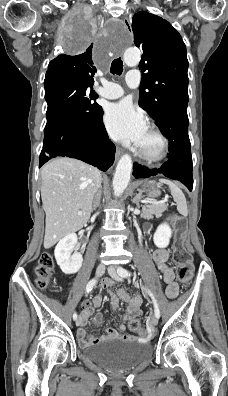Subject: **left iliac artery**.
I'll return each mask as SVG.
<instances>
[{
	"instance_id": "obj_1",
	"label": "left iliac artery",
	"mask_w": 228,
	"mask_h": 396,
	"mask_svg": "<svg viewBox=\"0 0 228 396\" xmlns=\"http://www.w3.org/2000/svg\"><path fill=\"white\" fill-rule=\"evenodd\" d=\"M117 272H118V274H119L121 277H124V278L131 275V272H129L128 270H126V269H124V268H122V267H119V268L117 269ZM145 290H146V292L149 294V296L151 297V299H152V301H153V304H154L155 315H156L157 318H159V317H160V310H159L157 301H156V299L154 298L153 294H152L147 288H145Z\"/></svg>"
}]
</instances>
